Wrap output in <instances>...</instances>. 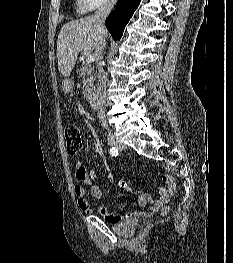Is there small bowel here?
<instances>
[{"label":"small bowel","instance_id":"obj_1","mask_svg":"<svg viewBox=\"0 0 233 263\" xmlns=\"http://www.w3.org/2000/svg\"><path fill=\"white\" fill-rule=\"evenodd\" d=\"M94 174L95 173L93 169L86 168L80 162L76 163L75 175L77 180L85 184L89 188V191L94 198L100 199L102 197V191L94 181ZM162 180L165 185L160 186L157 189V192L159 194V198L157 200L153 201L151 197L148 195H142L140 197L141 204L145 205L146 203H150L151 205L150 208L153 211H157L162 207H164L176 192V183L171 175H164L162 177ZM74 194L76 196L77 204L79 208L84 213L90 214L93 211H96L109 223H117L130 217V215L118 214L114 211L109 210L107 207L104 206H100L94 209L86 198V191L84 187L81 186L80 184H76L74 186Z\"/></svg>","mask_w":233,"mask_h":263}]
</instances>
